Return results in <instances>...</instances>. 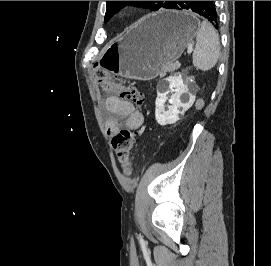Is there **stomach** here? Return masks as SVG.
I'll return each instance as SVG.
<instances>
[{
    "instance_id": "stomach-1",
    "label": "stomach",
    "mask_w": 271,
    "mask_h": 266,
    "mask_svg": "<svg viewBox=\"0 0 271 266\" xmlns=\"http://www.w3.org/2000/svg\"><path fill=\"white\" fill-rule=\"evenodd\" d=\"M198 27V19L189 11L162 10L148 15L110 42L99 64L125 78L154 79L181 56Z\"/></svg>"
}]
</instances>
